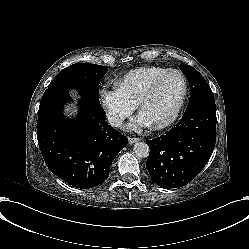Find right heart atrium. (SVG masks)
Here are the masks:
<instances>
[{
    "label": "right heart atrium",
    "instance_id": "1",
    "mask_svg": "<svg viewBox=\"0 0 249 249\" xmlns=\"http://www.w3.org/2000/svg\"><path fill=\"white\" fill-rule=\"evenodd\" d=\"M103 104L108 117L114 122L129 116L132 111V106L116 93L104 94Z\"/></svg>",
    "mask_w": 249,
    "mask_h": 249
}]
</instances>
